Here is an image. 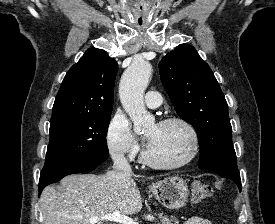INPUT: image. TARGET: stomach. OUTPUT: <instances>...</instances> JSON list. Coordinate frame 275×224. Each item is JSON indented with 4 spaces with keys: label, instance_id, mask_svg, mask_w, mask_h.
<instances>
[{
    "label": "stomach",
    "instance_id": "obj_1",
    "mask_svg": "<svg viewBox=\"0 0 275 224\" xmlns=\"http://www.w3.org/2000/svg\"><path fill=\"white\" fill-rule=\"evenodd\" d=\"M154 197L167 209H179L187 203L189 189L186 181L178 176L167 177L150 186Z\"/></svg>",
    "mask_w": 275,
    "mask_h": 224
}]
</instances>
